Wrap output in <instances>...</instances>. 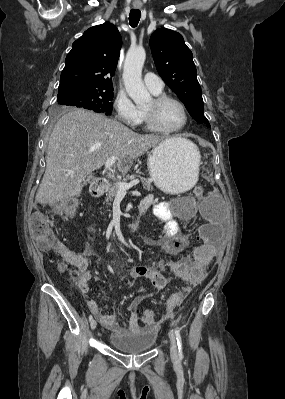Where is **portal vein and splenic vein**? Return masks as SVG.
<instances>
[{
	"label": "portal vein and splenic vein",
	"mask_w": 285,
	"mask_h": 399,
	"mask_svg": "<svg viewBox=\"0 0 285 399\" xmlns=\"http://www.w3.org/2000/svg\"><path fill=\"white\" fill-rule=\"evenodd\" d=\"M116 160H117V157L113 156V157H111L110 159H108V160L106 161V163H105V169L108 171V172H107L108 177H109V178H112V179H115V178H114V176L111 174L110 170H111V167L115 164ZM139 182H140V181H139L138 179L132 180V181L129 182V183L118 181V182L116 183V185H117V187H118V193H123V194L126 193V191H127L128 189H130V188L133 187L134 185L139 184Z\"/></svg>",
	"instance_id": "portal-vein-and-splenic-vein-1"
}]
</instances>
